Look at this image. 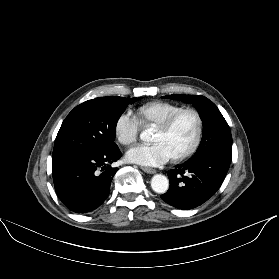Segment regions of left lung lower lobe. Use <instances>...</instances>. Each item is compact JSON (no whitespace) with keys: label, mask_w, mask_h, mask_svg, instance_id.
Here are the masks:
<instances>
[{"label":"left lung lower lobe","mask_w":279,"mask_h":279,"mask_svg":"<svg viewBox=\"0 0 279 279\" xmlns=\"http://www.w3.org/2000/svg\"><path fill=\"white\" fill-rule=\"evenodd\" d=\"M230 163L216 155L187 160L168 172L170 187L161 198L184 210L203 204L220 188Z\"/></svg>","instance_id":"1"}]
</instances>
